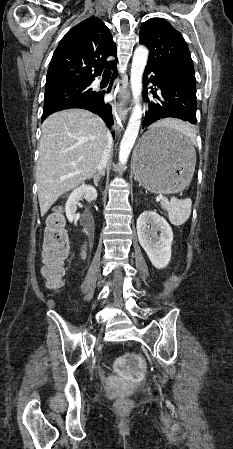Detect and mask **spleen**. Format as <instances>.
<instances>
[{
  "instance_id": "3e777b00",
  "label": "spleen",
  "mask_w": 233,
  "mask_h": 449,
  "mask_svg": "<svg viewBox=\"0 0 233 449\" xmlns=\"http://www.w3.org/2000/svg\"><path fill=\"white\" fill-rule=\"evenodd\" d=\"M174 128L175 133H185L189 137V133L193 132V125H169ZM194 169V168H193ZM161 206L168 212V219L171 224L180 226L184 224L191 214L192 201L190 198L179 200L176 197H171L170 201L162 200Z\"/></svg>"
}]
</instances>
